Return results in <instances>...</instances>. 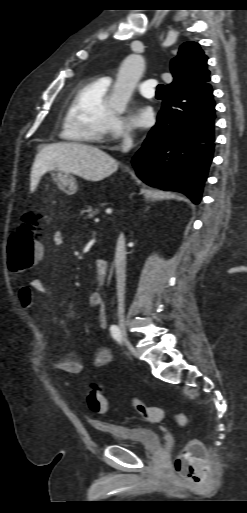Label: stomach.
I'll list each match as a JSON object with an SVG mask.
<instances>
[{
	"label": "stomach",
	"mask_w": 247,
	"mask_h": 513,
	"mask_svg": "<svg viewBox=\"0 0 247 513\" xmlns=\"http://www.w3.org/2000/svg\"><path fill=\"white\" fill-rule=\"evenodd\" d=\"M53 181L67 194H74L78 190V185L75 177L68 172L61 170H51L50 172Z\"/></svg>",
	"instance_id": "obj_1"
}]
</instances>
